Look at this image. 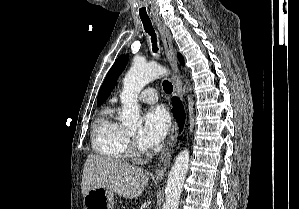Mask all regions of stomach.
Returning a JSON list of instances; mask_svg holds the SVG:
<instances>
[{"mask_svg": "<svg viewBox=\"0 0 299 209\" xmlns=\"http://www.w3.org/2000/svg\"><path fill=\"white\" fill-rule=\"evenodd\" d=\"M85 209H114L113 193L105 188H93L83 200Z\"/></svg>", "mask_w": 299, "mask_h": 209, "instance_id": "1", "label": "stomach"}]
</instances>
